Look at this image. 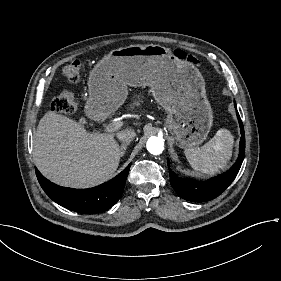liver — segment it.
<instances>
[{
	"label": "liver",
	"instance_id": "obj_1",
	"mask_svg": "<svg viewBox=\"0 0 281 281\" xmlns=\"http://www.w3.org/2000/svg\"><path fill=\"white\" fill-rule=\"evenodd\" d=\"M35 164L50 181L85 189L112 178L120 161L112 133H88L76 121L47 112L39 121L33 146Z\"/></svg>",
	"mask_w": 281,
	"mask_h": 281
}]
</instances>
